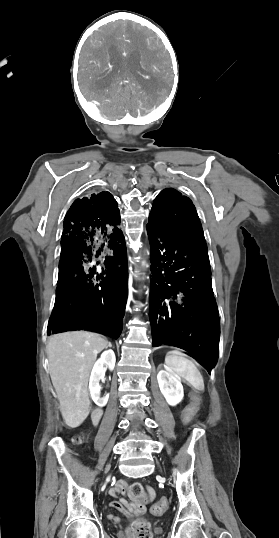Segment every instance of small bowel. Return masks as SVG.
<instances>
[{
	"instance_id": "1",
	"label": "small bowel",
	"mask_w": 279,
	"mask_h": 538,
	"mask_svg": "<svg viewBox=\"0 0 279 538\" xmlns=\"http://www.w3.org/2000/svg\"><path fill=\"white\" fill-rule=\"evenodd\" d=\"M148 492H149L150 500L153 499L154 498L153 489L149 487ZM125 494L129 495L130 500L121 498V499L110 502L109 506L111 508L118 510L122 515H124L128 519H132L135 516L142 513L145 509V506L138 498H135L131 495V492L125 481H119L110 490V495L114 498H118L119 495H125ZM107 518L109 520H112L115 523H119L121 521V517L118 515L108 514Z\"/></svg>"
}]
</instances>
